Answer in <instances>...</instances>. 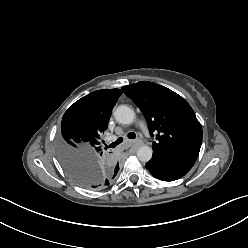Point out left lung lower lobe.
Listing matches in <instances>:
<instances>
[{
  "instance_id": "left-lung-lower-lobe-1",
  "label": "left lung lower lobe",
  "mask_w": 248,
  "mask_h": 248,
  "mask_svg": "<svg viewBox=\"0 0 248 248\" xmlns=\"http://www.w3.org/2000/svg\"><path fill=\"white\" fill-rule=\"evenodd\" d=\"M198 154H176L160 156L154 154L146 163L147 170L153 177L162 181H174L183 177L194 165Z\"/></svg>"
}]
</instances>
